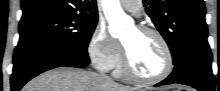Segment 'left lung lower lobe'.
Returning <instances> with one entry per match:
<instances>
[{"label":"left lung lower lobe","mask_w":220,"mask_h":91,"mask_svg":"<svg viewBox=\"0 0 220 91\" xmlns=\"http://www.w3.org/2000/svg\"><path fill=\"white\" fill-rule=\"evenodd\" d=\"M211 63V52L187 57L185 62L174 67L173 72L167 79L155 86L178 83L194 87L199 91H214L215 78L212 73Z\"/></svg>","instance_id":"0a47b994"}]
</instances>
